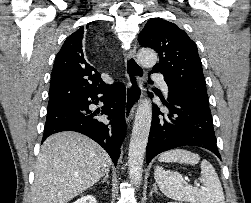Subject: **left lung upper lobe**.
<instances>
[{
    "mask_svg": "<svg viewBox=\"0 0 251 203\" xmlns=\"http://www.w3.org/2000/svg\"><path fill=\"white\" fill-rule=\"evenodd\" d=\"M143 47L157 51L160 61L152 72L164 75L169 95L186 93L208 106L206 83L196 44L169 21L152 18L138 36Z\"/></svg>",
    "mask_w": 251,
    "mask_h": 203,
    "instance_id": "obj_1",
    "label": "left lung upper lobe"
}]
</instances>
